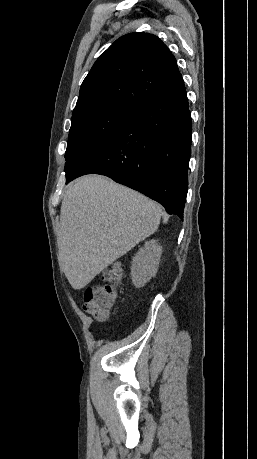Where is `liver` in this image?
I'll return each instance as SVG.
<instances>
[{
	"instance_id": "liver-1",
	"label": "liver",
	"mask_w": 257,
	"mask_h": 459,
	"mask_svg": "<svg viewBox=\"0 0 257 459\" xmlns=\"http://www.w3.org/2000/svg\"><path fill=\"white\" fill-rule=\"evenodd\" d=\"M161 208L142 194L99 175L66 191L58 231L60 264L74 289L155 233Z\"/></svg>"
}]
</instances>
